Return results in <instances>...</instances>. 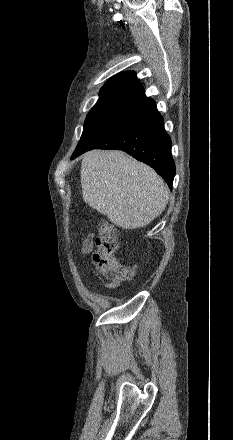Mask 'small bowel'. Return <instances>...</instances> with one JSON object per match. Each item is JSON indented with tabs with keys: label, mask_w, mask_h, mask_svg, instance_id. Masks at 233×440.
<instances>
[{
	"label": "small bowel",
	"mask_w": 233,
	"mask_h": 440,
	"mask_svg": "<svg viewBox=\"0 0 233 440\" xmlns=\"http://www.w3.org/2000/svg\"><path fill=\"white\" fill-rule=\"evenodd\" d=\"M93 245H94V235L89 234L82 243V248H81L82 253L89 254L93 249ZM103 285L107 288H116L118 286V283L108 282V283H104Z\"/></svg>",
	"instance_id": "small-bowel-1"
}]
</instances>
